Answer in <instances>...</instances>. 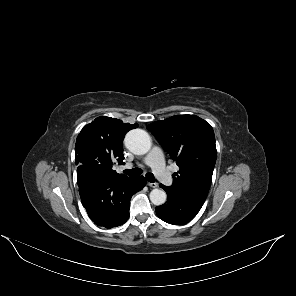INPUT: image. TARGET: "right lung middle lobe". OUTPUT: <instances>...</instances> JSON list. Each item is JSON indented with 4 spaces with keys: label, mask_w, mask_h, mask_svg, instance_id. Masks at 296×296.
<instances>
[{
    "label": "right lung middle lobe",
    "mask_w": 296,
    "mask_h": 296,
    "mask_svg": "<svg viewBox=\"0 0 296 296\" xmlns=\"http://www.w3.org/2000/svg\"><path fill=\"white\" fill-rule=\"evenodd\" d=\"M85 165L89 171L95 172V162L92 156H86Z\"/></svg>",
    "instance_id": "1"
}]
</instances>
